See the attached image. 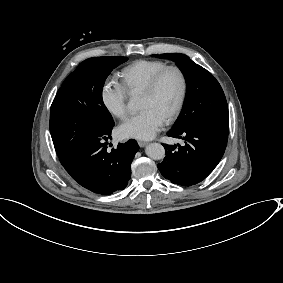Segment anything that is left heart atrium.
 Returning <instances> with one entry per match:
<instances>
[{
  "instance_id": "obj_1",
  "label": "left heart atrium",
  "mask_w": 283,
  "mask_h": 283,
  "mask_svg": "<svg viewBox=\"0 0 283 283\" xmlns=\"http://www.w3.org/2000/svg\"><path fill=\"white\" fill-rule=\"evenodd\" d=\"M164 121L165 117L157 111L142 109L117 128V136L121 139H150L160 130Z\"/></svg>"
}]
</instances>
